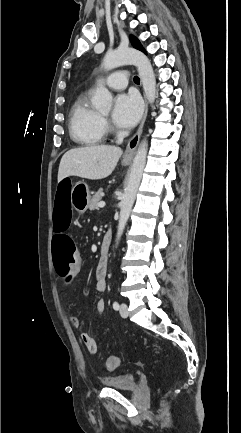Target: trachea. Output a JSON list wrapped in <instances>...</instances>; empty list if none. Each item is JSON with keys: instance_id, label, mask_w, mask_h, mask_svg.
Masks as SVG:
<instances>
[{"instance_id": "trachea-1", "label": "trachea", "mask_w": 241, "mask_h": 433, "mask_svg": "<svg viewBox=\"0 0 241 433\" xmlns=\"http://www.w3.org/2000/svg\"><path fill=\"white\" fill-rule=\"evenodd\" d=\"M134 82H135V83H139V82H140L139 77L135 76V77H134Z\"/></svg>"}]
</instances>
